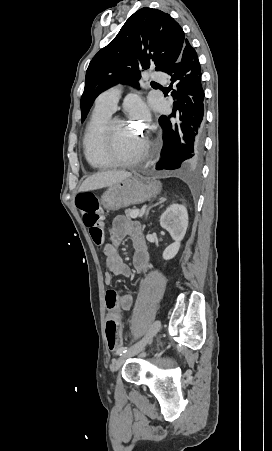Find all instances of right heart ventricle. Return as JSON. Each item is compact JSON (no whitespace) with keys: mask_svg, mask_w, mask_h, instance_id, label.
I'll list each match as a JSON object with an SVG mask.
<instances>
[{"mask_svg":"<svg viewBox=\"0 0 272 451\" xmlns=\"http://www.w3.org/2000/svg\"><path fill=\"white\" fill-rule=\"evenodd\" d=\"M129 102L130 101L127 100L125 104H128ZM111 113L112 112L107 109L96 106L85 132V157L90 166L96 169L106 167L109 164L103 143L99 141L98 136Z\"/></svg>","mask_w":272,"mask_h":451,"instance_id":"obj_1","label":"right heart ventricle"}]
</instances>
